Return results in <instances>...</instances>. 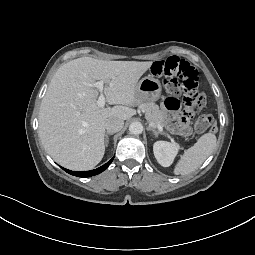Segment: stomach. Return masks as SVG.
I'll list each match as a JSON object with an SVG mask.
<instances>
[{"label": "stomach", "mask_w": 255, "mask_h": 255, "mask_svg": "<svg viewBox=\"0 0 255 255\" xmlns=\"http://www.w3.org/2000/svg\"><path fill=\"white\" fill-rule=\"evenodd\" d=\"M161 83L149 75L142 78L137 84V99L139 103L157 101L161 96Z\"/></svg>", "instance_id": "1"}]
</instances>
